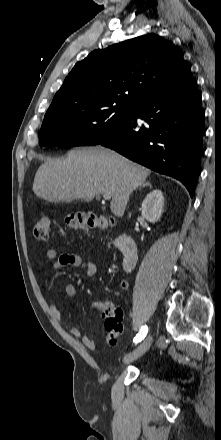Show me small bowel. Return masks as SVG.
<instances>
[{
    "label": "small bowel",
    "mask_w": 221,
    "mask_h": 440,
    "mask_svg": "<svg viewBox=\"0 0 221 440\" xmlns=\"http://www.w3.org/2000/svg\"><path fill=\"white\" fill-rule=\"evenodd\" d=\"M44 260L51 262V266L54 269H59L66 266L80 267L84 271L85 275L88 277L94 276L97 272L96 265L93 261L83 259L82 257L76 254L65 253L59 255L56 252V250L53 248H49L46 250L44 254ZM37 270L38 271L42 270V266L40 264L37 265ZM120 286L121 288H127V282L122 281ZM64 293L67 297L72 298L76 296L77 289L75 285H73L72 283H67L64 286ZM49 311L51 315L54 317V319L57 320L58 322H61L63 320L62 312L57 307V305L50 304ZM69 332L73 337L80 338L82 344L86 348L90 350H95L97 348L96 342L92 338L82 335V332L79 328L71 327L69 329Z\"/></svg>",
    "instance_id": "obj_1"
}]
</instances>
